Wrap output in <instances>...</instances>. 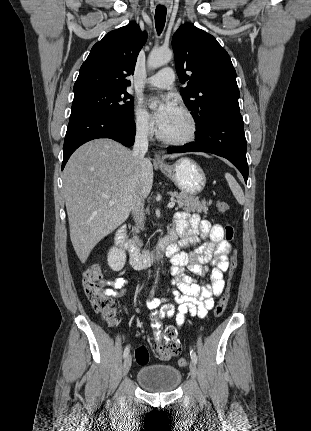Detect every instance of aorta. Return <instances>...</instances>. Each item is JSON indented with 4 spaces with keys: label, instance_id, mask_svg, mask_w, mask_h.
Instances as JSON below:
<instances>
[{
    "label": "aorta",
    "instance_id": "obj_1",
    "mask_svg": "<svg viewBox=\"0 0 311 431\" xmlns=\"http://www.w3.org/2000/svg\"><path fill=\"white\" fill-rule=\"evenodd\" d=\"M172 52L171 50H161V48H154L151 50L148 60L147 66L151 68V70H156V68H161V66H165L168 62L172 60ZM150 108H156V104H151Z\"/></svg>",
    "mask_w": 311,
    "mask_h": 431
}]
</instances>
